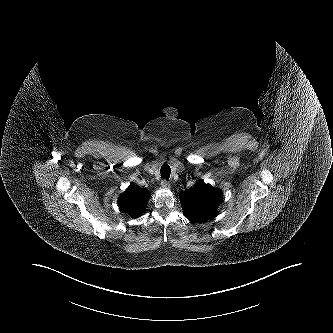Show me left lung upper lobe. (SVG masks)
<instances>
[{"label": "left lung upper lobe", "mask_w": 333, "mask_h": 333, "mask_svg": "<svg viewBox=\"0 0 333 333\" xmlns=\"http://www.w3.org/2000/svg\"><path fill=\"white\" fill-rule=\"evenodd\" d=\"M222 200V191L205 184L204 181L180 193L183 213L194 222H205L216 217L217 208Z\"/></svg>", "instance_id": "1"}]
</instances>
